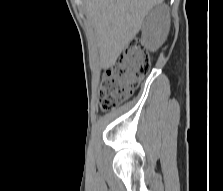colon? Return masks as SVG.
I'll return each instance as SVG.
<instances>
[{
    "mask_svg": "<svg viewBox=\"0 0 223 191\" xmlns=\"http://www.w3.org/2000/svg\"><path fill=\"white\" fill-rule=\"evenodd\" d=\"M151 59L144 46L134 41L104 75L100 88V105L105 111L126 101L149 74Z\"/></svg>",
    "mask_w": 223,
    "mask_h": 191,
    "instance_id": "5ec220e1",
    "label": "colon"
}]
</instances>
